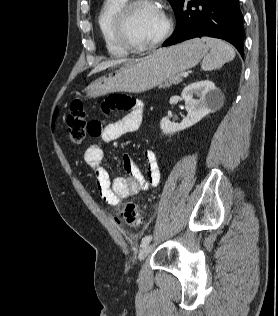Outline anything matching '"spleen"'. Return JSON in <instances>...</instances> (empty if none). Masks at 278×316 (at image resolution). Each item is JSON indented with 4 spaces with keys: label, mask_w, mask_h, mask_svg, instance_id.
Listing matches in <instances>:
<instances>
[{
    "label": "spleen",
    "mask_w": 278,
    "mask_h": 316,
    "mask_svg": "<svg viewBox=\"0 0 278 316\" xmlns=\"http://www.w3.org/2000/svg\"><path fill=\"white\" fill-rule=\"evenodd\" d=\"M201 40L210 48V53L204 57L201 64L204 71L218 69L234 59L235 51L226 42L211 37H202Z\"/></svg>",
    "instance_id": "obj_1"
}]
</instances>
